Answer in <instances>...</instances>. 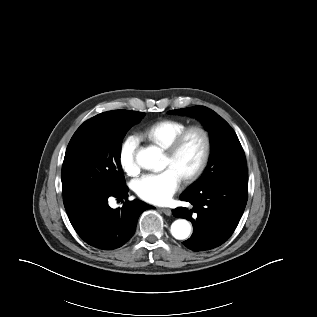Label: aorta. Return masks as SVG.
Here are the masks:
<instances>
[{
	"label": "aorta",
	"instance_id": "aorta-1",
	"mask_svg": "<svg viewBox=\"0 0 317 317\" xmlns=\"http://www.w3.org/2000/svg\"><path fill=\"white\" fill-rule=\"evenodd\" d=\"M163 159L162 150L157 146L141 148L136 154L137 164L146 170L159 171L165 168L161 162ZM170 232L175 239L185 240L191 233V225L185 219H177L172 225Z\"/></svg>",
	"mask_w": 317,
	"mask_h": 317
}]
</instances>
